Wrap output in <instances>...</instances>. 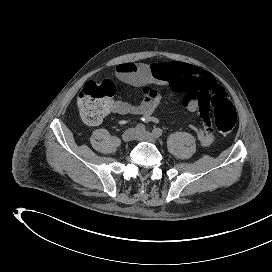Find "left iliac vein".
<instances>
[{"label": "left iliac vein", "mask_w": 272, "mask_h": 272, "mask_svg": "<svg viewBox=\"0 0 272 272\" xmlns=\"http://www.w3.org/2000/svg\"><path fill=\"white\" fill-rule=\"evenodd\" d=\"M136 139L141 140V141H147V142H150V143H156L157 142L156 136H154L150 132H138L137 136H136Z\"/></svg>", "instance_id": "4c4485c4"}]
</instances>
